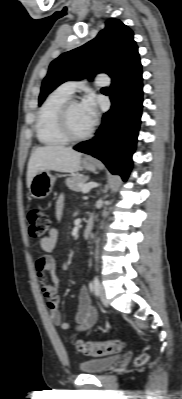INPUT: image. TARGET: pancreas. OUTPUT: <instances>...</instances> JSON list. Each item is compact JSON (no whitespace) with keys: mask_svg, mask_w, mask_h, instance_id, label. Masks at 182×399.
Returning a JSON list of instances; mask_svg holds the SVG:
<instances>
[{"mask_svg":"<svg viewBox=\"0 0 182 399\" xmlns=\"http://www.w3.org/2000/svg\"><path fill=\"white\" fill-rule=\"evenodd\" d=\"M88 179L89 177L84 175L72 176L66 179V185L69 189L80 192L82 191L81 186L84 185Z\"/></svg>","mask_w":182,"mask_h":399,"instance_id":"1","label":"pancreas"}]
</instances>
